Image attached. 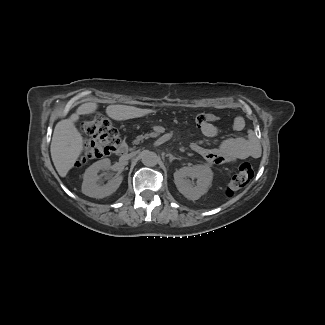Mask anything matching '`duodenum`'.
Listing matches in <instances>:
<instances>
[{"mask_svg":"<svg viewBox=\"0 0 325 325\" xmlns=\"http://www.w3.org/2000/svg\"><path fill=\"white\" fill-rule=\"evenodd\" d=\"M128 146L125 142L119 144L117 149V154L121 157H124L127 153Z\"/></svg>","mask_w":325,"mask_h":325,"instance_id":"obj_1","label":"duodenum"}]
</instances>
